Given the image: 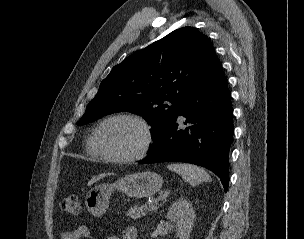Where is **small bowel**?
Segmentation results:
<instances>
[{"label": "small bowel", "mask_w": 304, "mask_h": 239, "mask_svg": "<svg viewBox=\"0 0 304 239\" xmlns=\"http://www.w3.org/2000/svg\"><path fill=\"white\" fill-rule=\"evenodd\" d=\"M90 231L86 226H79L72 230L63 231L60 233V239H83L89 238ZM137 231L134 227L126 228L120 236H110L108 239H136Z\"/></svg>", "instance_id": "1"}]
</instances>
